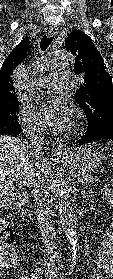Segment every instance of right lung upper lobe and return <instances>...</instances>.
<instances>
[{
	"mask_svg": "<svg viewBox=\"0 0 113 279\" xmlns=\"http://www.w3.org/2000/svg\"><path fill=\"white\" fill-rule=\"evenodd\" d=\"M28 39H23L5 59L0 70V109L18 102L13 86L14 69L27 57Z\"/></svg>",
	"mask_w": 113,
	"mask_h": 279,
	"instance_id": "cb5924a9",
	"label": "right lung upper lobe"
}]
</instances>
